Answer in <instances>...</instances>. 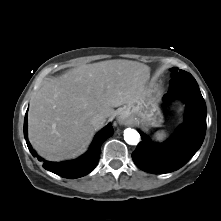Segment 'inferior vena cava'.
<instances>
[{"label":"inferior vena cava","mask_w":221,"mask_h":221,"mask_svg":"<svg viewBox=\"0 0 221 221\" xmlns=\"http://www.w3.org/2000/svg\"><path fill=\"white\" fill-rule=\"evenodd\" d=\"M105 121H106V117L102 114H97V115L93 116L91 119V123L95 127H99V126L103 125L105 123Z\"/></svg>","instance_id":"inferior-vena-cava-1"}]
</instances>
